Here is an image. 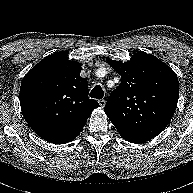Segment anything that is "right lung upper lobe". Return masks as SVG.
<instances>
[{
    "label": "right lung upper lobe",
    "instance_id": "right-lung-upper-lobe-1",
    "mask_svg": "<svg viewBox=\"0 0 193 193\" xmlns=\"http://www.w3.org/2000/svg\"><path fill=\"white\" fill-rule=\"evenodd\" d=\"M81 64L70 61L65 51L51 54L36 64L20 87L21 110L31 129L42 139L65 144L82 131L99 103L88 98Z\"/></svg>",
    "mask_w": 193,
    "mask_h": 193
}]
</instances>
